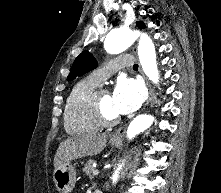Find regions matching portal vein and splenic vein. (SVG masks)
<instances>
[{
	"mask_svg": "<svg viewBox=\"0 0 221 193\" xmlns=\"http://www.w3.org/2000/svg\"><path fill=\"white\" fill-rule=\"evenodd\" d=\"M99 174V170L98 169H94L93 170V175H98Z\"/></svg>",
	"mask_w": 221,
	"mask_h": 193,
	"instance_id": "portal-vein-and-splenic-vein-1",
	"label": "portal vein and splenic vein"
}]
</instances>
